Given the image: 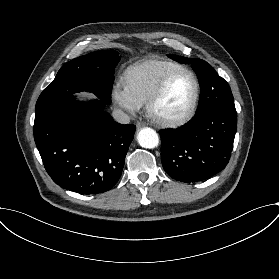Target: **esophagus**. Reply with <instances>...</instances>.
Listing matches in <instances>:
<instances>
[{
    "instance_id": "esophagus-1",
    "label": "esophagus",
    "mask_w": 279,
    "mask_h": 279,
    "mask_svg": "<svg viewBox=\"0 0 279 279\" xmlns=\"http://www.w3.org/2000/svg\"><path fill=\"white\" fill-rule=\"evenodd\" d=\"M145 126V123L144 122H138L137 123V129L139 130V129H141V128H143Z\"/></svg>"
}]
</instances>
